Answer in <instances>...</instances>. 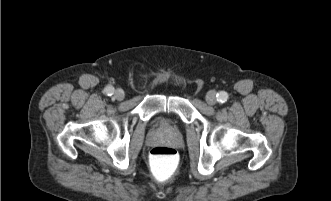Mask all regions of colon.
I'll list each match as a JSON object with an SVG mask.
<instances>
[{
  "label": "colon",
  "mask_w": 331,
  "mask_h": 201,
  "mask_svg": "<svg viewBox=\"0 0 331 201\" xmlns=\"http://www.w3.org/2000/svg\"><path fill=\"white\" fill-rule=\"evenodd\" d=\"M178 152L168 146H156L149 154V166L152 175L158 181L164 182L172 178L179 168Z\"/></svg>",
  "instance_id": "5ec220e1"
}]
</instances>
